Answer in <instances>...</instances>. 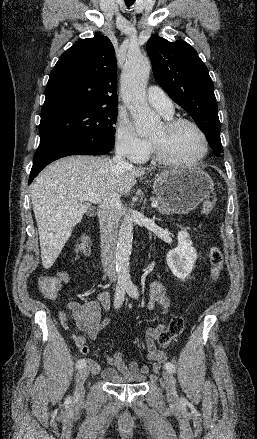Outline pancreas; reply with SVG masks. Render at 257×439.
I'll return each mask as SVG.
<instances>
[{"mask_svg":"<svg viewBox=\"0 0 257 439\" xmlns=\"http://www.w3.org/2000/svg\"><path fill=\"white\" fill-rule=\"evenodd\" d=\"M154 200L159 203V206L157 207L158 212L166 215H170L174 212L171 206L168 203H166L164 200L160 198H155Z\"/></svg>","mask_w":257,"mask_h":439,"instance_id":"1","label":"pancreas"}]
</instances>
